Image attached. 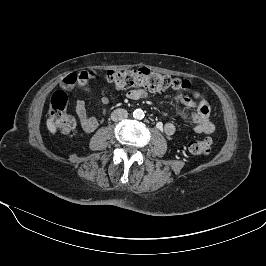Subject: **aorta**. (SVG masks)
<instances>
[{"instance_id":"obj_1","label":"aorta","mask_w":266,"mask_h":266,"mask_svg":"<svg viewBox=\"0 0 266 266\" xmlns=\"http://www.w3.org/2000/svg\"><path fill=\"white\" fill-rule=\"evenodd\" d=\"M144 111L141 110V109H136L134 112H133V117L137 120H141L144 118Z\"/></svg>"}]
</instances>
